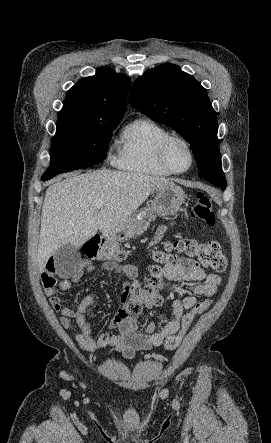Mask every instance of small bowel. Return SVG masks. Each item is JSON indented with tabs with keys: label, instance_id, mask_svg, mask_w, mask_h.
<instances>
[{
	"label": "small bowel",
	"instance_id": "1",
	"mask_svg": "<svg viewBox=\"0 0 271 443\" xmlns=\"http://www.w3.org/2000/svg\"><path fill=\"white\" fill-rule=\"evenodd\" d=\"M167 231L166 226H162L151 245L160 241ZM89 261H82L77 270L69 277L60 281L57 287L45 290L49 297L53 310L60 313V323L70 330H76V340L81 349L93 352L99 349L110 348L121 352L125 357L132 358L136 352L150 350L162 344L169 335L175 334L181 324L185 311L190 310L197 303L195 296H188L184 299H175L172 302V313L174 318L167 321L162 328L155 321H148L140 324L137 319L130 314L127 309L130 280L137 276V269L131 264H118L113 261L104 262L99 269L106 272H115L123 278L121 282V307L110 322V329H117L116 333L106 331L97 339L94 338L91 324L85 315L87 308L94 303V295L89 293L78 304L75 309L66 306L63 301L56 296L58 291H66L77 284L85 272L95 270ZM164 275L167 279L179 284H188L195 295L211 296L221 283L218 274H206L202 268L190 258L177 255H170L164 265Z\"/></svg>",
	"mask_w": 271,
	"mask_h": 443
}]
</instances>
